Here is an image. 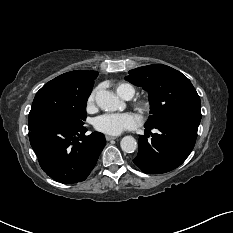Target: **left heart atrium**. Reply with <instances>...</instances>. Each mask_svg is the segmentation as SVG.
Wrapping results in <instances>:
<instances>
[{"label": "left heart atrium", "instance_id": "left-heart-atrium-1", "mask_svg": "<svg viewBox=\"0 0 233 233\" xmlns=\"http://www.w3.org/2000/svg\"><path fill=\"white\" fill-rule=\"evenodd\" d=\"M140 119L133 113H108L94 120L96 130L109 135H119L125 130L136 128Z\"/></svg>", "mask_w": 233, "mask_h": 233}]
</instances>
